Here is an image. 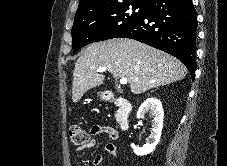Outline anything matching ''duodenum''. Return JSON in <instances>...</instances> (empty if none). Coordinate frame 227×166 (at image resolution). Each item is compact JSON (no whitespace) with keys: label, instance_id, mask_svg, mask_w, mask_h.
Returning a JSON list of instances; mask_svg holds the SVG:
<instances>
[{"label":"duodenum","instance_id":"1","mask_svg":"<svg viewBox=\"0 0 227 166\" xmlns=\"http://www.w3.org/2000/svg\"><path fill=\"white\" fill-rule=\"evenodd\" d=\"M104 97L107 101L112 102L118 107V122L120 128L125 131L129 128L130 114L132 111V104L123 98H114L110 91H104Z\"/></svg>","mask_w":227,"mask_h":166}]
</instances>
